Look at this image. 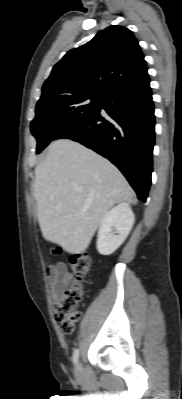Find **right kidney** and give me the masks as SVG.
Segmentation results:
<instances>
[{
    "mask_svg": "<svg viewBox=\"0 0 182 399\" xmlns=\"http://www.w3.org/2000/svg\"><path fill=\"white\" fill-rule=\"evenodd\" d=\"M134 220L128 203H120L108 211L101 220L98 231V252L101 255H110L117 250L130 233Z\"/></svg>",
    "mask_w": 182,
    "mask_h": 399,
    "instance_id": "1",
    "label": "right kidney"
}]
</instances>
